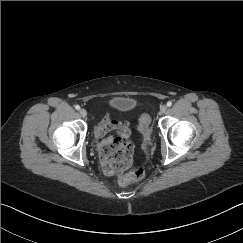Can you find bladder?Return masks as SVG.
<instances>
[{
    "label": "bladder",
    "instance_id": "31cf9c89",
    "mask_svg": "<svg viewBox=\"0 0 243 243\" xmlns=\"http://www.w3.org/2000/svg\"><path fill=\"white\" fill-rule=\"evenodd\" d=\"M117 99V101H126V102H129V103H131L130 101H129V99H127V98H116ZM121 111H126V109H121Z\"/></svg>",
    "mask_w": 243,
    "mask_h": 243
}]
</instances>
